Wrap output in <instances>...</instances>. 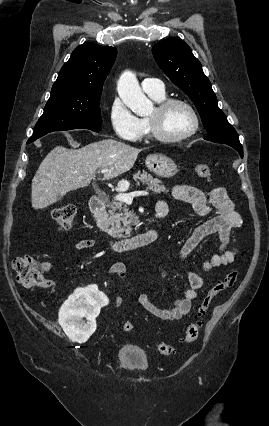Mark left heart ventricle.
<instances>
[{
  "mask_svg": "<svg viewBox=\"0 0 269 426\" xmlns=\"http://www.w3.org/2000/svg\"><path fill=\"white\" fill-rule=\"evenodd\" d=\"M155 110L148 115L154 116ZM194 124L191 112L182 105L172 106L161 121L162 130L166 135L178 136L188 132Z\"/></svg>",
  "mask_w": 269,
  "mask_h": 426,
  "instance_id": "left-heart-ventricle-1",
  "label": "left heart ventricle"
}]
</instances>
